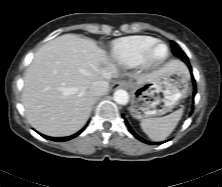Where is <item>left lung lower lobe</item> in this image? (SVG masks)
I'll return each instance as SVG.
<instances>
[{
	"instance_id": "0a47b994",
	"label": "left lung lower lobe",
	"mask_w": 222,
	"mask_h": 187,
	"mask_svg": "<svg viewBox=\"0 0 222 187\" xmlns=\"http://www.w3.org/2000/svg\"><path fill=\"white\" fill-rule=\"evenodd\" d=\"M181 59H182V61H184V62L187 64V66L189 67V69H190V71H191L192 68H191V66H190V63H189L188 58H181ZM193 83H195V80H194V79H193ZM194 88H195V84H194ZM195 94H196V90H194V95H195ZM124 120H125V124H126V126L128 127V130L130 131V133H131L132 135H134L138 140H140V141H142V142H144V143H147V144H155V145L162 144V143L166 142V141H164V142L152 143V142H148V141L142 139L141 137H139V136L132 130V128L130 127V125L128 124V122H127V120H126L125 118H124Z\"/></svg>"
}]
</instances>
